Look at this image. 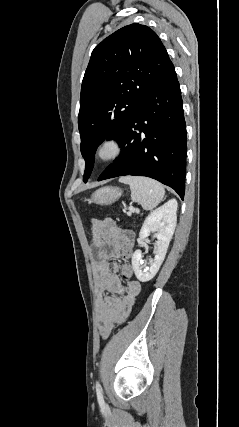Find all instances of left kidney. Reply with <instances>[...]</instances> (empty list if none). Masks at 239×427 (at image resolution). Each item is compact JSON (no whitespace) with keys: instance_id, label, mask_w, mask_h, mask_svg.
Listing matches in <instances>:
<instances>
[{"instance_id":"5707ae66","label":"left kidney","mask_w":239,"mask_h":427,"mask_svg":"<svg viewBox=\"0 0 239 427\" xmlns=\"http://www.w3.org/2000/svg\"><path fill=\"white\" fill-rule=\"evenodd\" d=\"M177 201L171 199L164 205L150 213L145 219L139 233L141 239H146L150 234L157 238L155 258L145 267L142 262L141 250H136L132 255V266L137 279L141 282L151 280L158 272L164 261L169 243L172 239L177 222Z\"/></svg>"}]
</instances>
